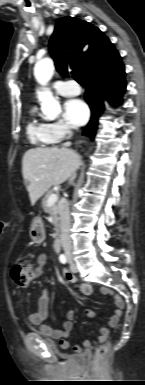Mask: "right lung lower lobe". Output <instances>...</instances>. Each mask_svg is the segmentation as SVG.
<instances>
[{
    "instance_id": "right-lung-lower-lobe-1",
    "label": "right lung lower lobe",
    "mask_w": 145,
    "mask_h": 385,
    "mask_svg": "<svg viewBox=\"0 0 145 385\" xmlns=\"http://www.w3.org/2000/svg\"><path fill=\"white\" fill-rule=\"evenodd\" d=\"M87 90L85 100L91 108V120L83 130V135L94 138L97 130L98 118L103 111V101L118 106L126 89L125 69L119 62L113 69L90 75L86 79Z\"/></svg>"
}]
</instances>
